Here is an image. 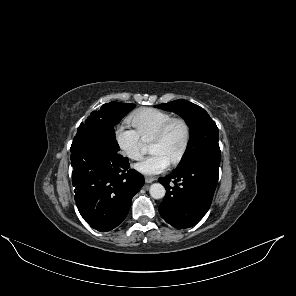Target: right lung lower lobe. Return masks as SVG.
<instances>
[{
	"mask_svg": "<svg viewBox=\"0 0 296 296\" xmlns=\"http://www.w3.org/2000/svg\"><path fill=\"white\" fill-rule=\"evenodd\" d=\"M72 184L83 219L101 232L117 227L126 218L133 196L144 178L129 169L117 146L99 134L77 133L71 148Z\"/></svg>",
	"mask_w": 296,
	"mask_h": 296,
	"instance_id": "right-lung-lower-lobe-1",
	"label": "right lung lower lobe"
}]
</instances>
